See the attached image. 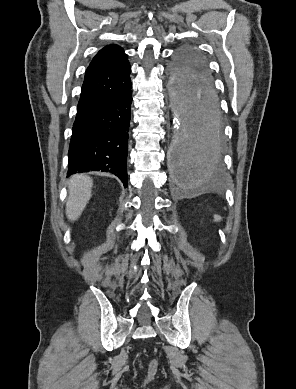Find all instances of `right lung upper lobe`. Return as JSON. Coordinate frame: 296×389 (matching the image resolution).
I'll list each match as a JSON object with an SVG mask.
<instances>
[{
	"instance_id": "obj_1",
	"label": "right lung upper lobe",
	"mask_w": 296,
	"mask_h": 389,
	"mask_svg": "<svg viewBox=\"0 0 296 389\" xmlns=\"http://www.w3.org/2000/svg\"><path fill=\"white\" fill-rule=\"evenodd\" d=\"M130 72L131 66L124 50L118 45L105 46L86 70L77 108L121 92L131 83Z\"/></svg>"
}]
</instances>
